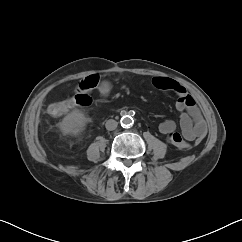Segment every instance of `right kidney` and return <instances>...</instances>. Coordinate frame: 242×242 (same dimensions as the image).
Returning <instances> with one entry per match:
<instances>
[{
    "label": "right kidney",
    "instance_id": "right-kidney-1",
    "mask_svg": "<svg viewBox=\"0 0 242 242\" xmlns=\"http://www.w3.org/2000/svg\"><path fill=\"white\" fill-rule=\"evenodd\" d=\"M87 123L85 111L75 109L63 118L60 129L64 135L78 136L85 130Z\"/></svg>",
    "mask_w": 242,
    "mask_h": 242
}]
</instances>
